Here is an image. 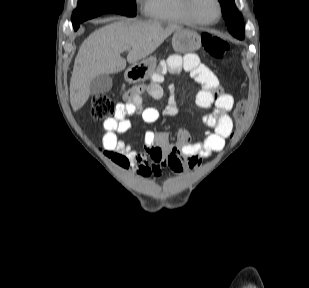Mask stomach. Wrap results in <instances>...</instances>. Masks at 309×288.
Segmentation results:
<instances>
[{
	"label": "stomach",
	"instance_id": "obj_1",
	"mask_svg": "<svg viewBox=\"0 0 309 288\" xmlns=\"http://www.w3.org/2000/svg\"><path fill=\"white\" fill-rule=\"evenodd\" d=\"M172 46L178 53L195 52L201 47V36L191 29H177L172 37ZM156 63V57L150 56L133 64L125 71V80L129 83L148 80L155 71Z\"/></svg>",
	"mask_w": 309,
	"mask_h": 288
}]
</instances>
